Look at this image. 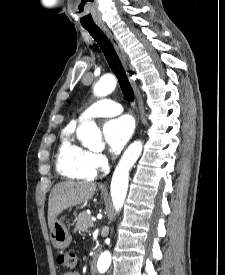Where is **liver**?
<instances>
[{
  "mask_svg": "<svg viewBox=\"0 0 225 275\" xmlns=\"http://www.w3.org/2000/svg\"><path fill=\"white\" fill-rule=\"evenodd\" d=\"M96 191L93 182L66 181L56 184L49 195L48 226L51 228L57 216L67 208L88 202Z\"/></svg>",
  "mask_w": 225,
  "mask_h": 275,
  "instance_id": "obj_1",
  "label": "liver"
}]
</instances>
